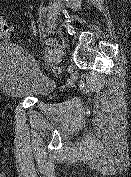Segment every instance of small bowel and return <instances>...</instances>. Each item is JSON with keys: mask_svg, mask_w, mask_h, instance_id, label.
<instances>
[{"mask_svg": "<svg viewBox=\"0 0 131 177\" xmlns=\"http://www.w3.org/2000/svg\"><path fill=\"white\" fill-rule=\"evenodd\" d=\"M6 0H0V5L3 3V2H5Z\"/></svg>", "mask_w": 131, "mask_h": 177, "instance_id": "obj_1", "label": "small bowel"}]
</instances>
